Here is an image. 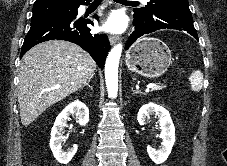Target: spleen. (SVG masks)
Instances as JSON below:
<instances>
[{"label": "spleen", "instance_id": "1", "mask_svg": "<svg viewBox=\"0 0 227 166\" xmlns=\"http://www.w3.org/2000/svg\"><path fill=\"white\" fill-rule=\"evenodd\" d=\"M189 81L191 83L192 90L198 92L203 86V74L201 71L197 70L190 75Z\"/></svg>", "mask_w": 227, "mask_h": 166}]
</instances>
